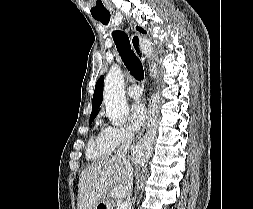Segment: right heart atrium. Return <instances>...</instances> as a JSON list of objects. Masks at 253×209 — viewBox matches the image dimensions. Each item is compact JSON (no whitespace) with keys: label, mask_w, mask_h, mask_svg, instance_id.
I'll return each instance as SVG.
<instances>
[{"label":"right heart atrium","mask_w":253,"mask_h":209,"mask_svg":"<svg viewBox=\"0 0 253 209\" xmlns=\"http://www.w3.org/2000/svg\"><path fill=\"white\" fill-rule=\"evenodd\" d=\"M102 133L105 142L112 150L122 144L130 143L133 139L131 131L124 126L108 125Z\"/></svg>","instance_id":"d8ad5b80"}]
</instances>
